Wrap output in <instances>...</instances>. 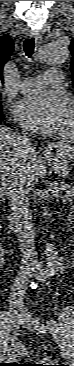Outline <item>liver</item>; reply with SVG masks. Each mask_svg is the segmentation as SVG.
Masks as SVG:
<instances>
[{
  "mask_svg": "<svg viewBox=\"0 0 74 366\" xmlns=\"http://www.w3.org/2000/svg\"><path fill=\"white\" fill-rule=\"evenodd\" d=\"M45 173L42 161L35 149L27 152L20 144L19 136L12 130L0 127V193L8 195L14 179H24L35 185Z\"/></svg>",
  "mask_w": 74,
  "mask_h": 366,
  "instance_id": "obj_1",
  "label": "liver"
}]
</instances>
